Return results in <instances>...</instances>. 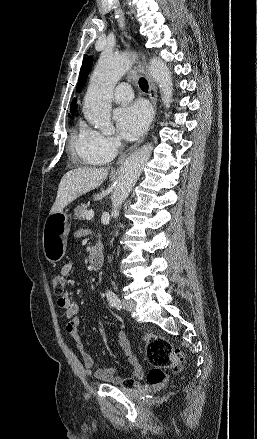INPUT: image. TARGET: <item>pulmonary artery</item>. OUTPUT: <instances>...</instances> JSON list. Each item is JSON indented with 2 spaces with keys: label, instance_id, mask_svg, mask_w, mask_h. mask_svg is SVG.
I'll use <instances>...</instances> for the list:
<instances>
[{
  "label": "pulmonary artery",
  "instance_id": "e3ab8cb5",
  "mask_svg": "<svg viewBox=\"0 0 257 439\" xmlns=\"http://www.w3.org/2000/svg\"><path fill=\"white\" fill-rule=\"evenodd\" d=\"M133 98V93L131 86L127 83L119 84L113 93V99L117 103L124 104L131 101Z\"/></svg>",
  "mask_w": 257,
  "mask_h": 439
}]
</instances>
